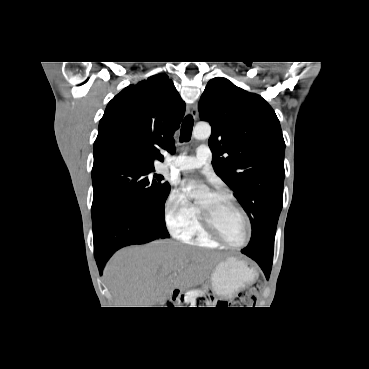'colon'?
<instances>
[{"mask_svg": "<svg viewBox=\"0 0 369 369\" xmlns=\"http://www.w3.org/2000/svg\"><path fill=\"white\" fill-rule=\"evenodd\" d=\"M261 288H262L261 283L259 282L255 283L248 291L239 293L233 304L236 307L254 306L257 299V294L260 292ZM219 304L223 306L229 305V303L227 302H219Z\"/></svg>", "mask_w": 369, "mask_h": 369, "instance_id": "colon-1", "label": "colon"}]
</instances>
